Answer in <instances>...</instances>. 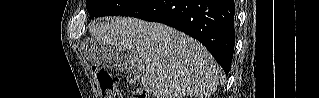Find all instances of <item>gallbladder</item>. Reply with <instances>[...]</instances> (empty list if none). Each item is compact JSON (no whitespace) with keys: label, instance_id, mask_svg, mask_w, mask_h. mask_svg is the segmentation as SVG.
I'll return each mask as SVG.
<instances>
[{"label":"gallbladder","instance_id":"1","mask_svg":"<svg viewBox=\"0 0 319 98\" xmlns=\"http://www.w3.org/2000/svg\"><path fill=\"white\" fill-rule=\"evenodd\" d=\"M85 55L95 63L119 70L125 74L138 73L140 63L136 56L127 50H117L97 42L91 51L85 52Z\"/></svg>","mask_w":319,"mask_h":98}]
</instances>
